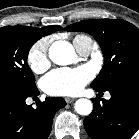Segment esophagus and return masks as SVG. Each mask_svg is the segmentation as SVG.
<instances>
[{"mask_svg":"<svg viewBox=\"0 0 139 139\" xmlns=\"http://www.w3.org/2000/svg\"><path fill=\"white\" fill-rule=\"evenodd\" d=\"M74 100H75L74 98H70V97H66V98H65V101H66L67 103H72Z\"/></svg>","mask_w":139,"mask_h":139,"instance_id":"esophagus-1","label":"esophagus"}]
</instances>
